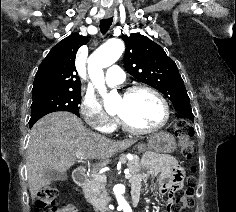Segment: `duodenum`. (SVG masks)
<instances>
[{
	"instance_id": "duodenum-1",
	"label": "duodenum",
	"mask_w": 236,
	"mask_h": 212,
	"mask_svg": "<svg viewBox=\"0 0 236 212\" xmlns=\"http://www.w3.org/2000/svg\"><path fill=\"white\" fill-rule=\"evenodd\" d=\"M73 180L76 183V185H78L81 188H86L87 184H88V178H87V174L84 168L79 167L76 168L73 171ZM139 197H140V191L139 190H132L131 192V200L133 204H137L139 201ZM100 212H109L108 208H103L100 209Z\"/></svg>"
}]
</instances>
